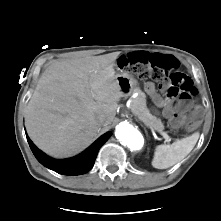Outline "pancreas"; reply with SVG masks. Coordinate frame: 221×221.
Returning a JSON list of instances; mask_svg holds the SVG:
<instances>
[{
    "instance_id": "cf45deb5",
    "label": "pancreas",
    "mask_w": 221,
    "mask_h": 221,
    "mask_svg": "<svg viewBox=\"0 0 221 221\" xmlns=\"http://www.w3.org/2000/svg\"><path fill=\"white\" fill-rule=\"evenodd\" d=\"M145 94L141 91H138V96L134 98L131 102V111L146 125L154 128L157 131H162L164 125L161 119L152 115L147 108Z\"/></svg>"
}]
</instances>
